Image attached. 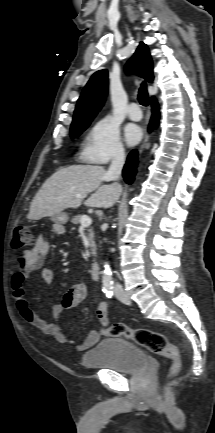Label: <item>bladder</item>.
Wrapping results in <instances>:
<instances>
[{"mask_svg":"<svg viewBox=\"0 0 215 433\" xmlns=\"http://www.w3.org/2000/svg\"><path fill=\"white\" fill-rule=\"evenodd\" d=\"M86 368H106L121 374H133L146 368L147 355L128 340L113 337L101 340L85 353Z\"/></svg>","mask_w":215,"mask_h":433,"instance_id":"31cf9c89","label":"bladder"}]
</instances>
